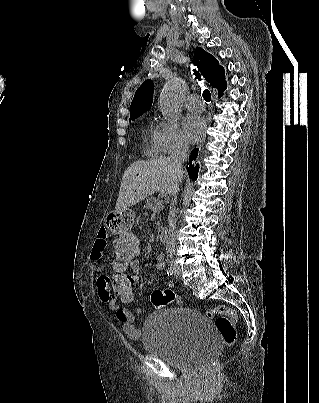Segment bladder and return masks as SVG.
I'll use <instances>...</instances> for the list:
<instances>
[{
	"label": "bladder",
	"instance_id": "31cf9c89",
	"mask_svg": "<svg viewBox=\"0 0 319 403\" xmlns=\"http://www.w3.org/2000/svg\"><path fill=\"white\" fill-rule=\"evenodd\" d=\"M146 351L182 371L204 366L220 348L210 318L188 309L153 311L143 327Z\"/></svg>",
	"mask_w": 319,
	"mask_h": 403
}]
</instances>
